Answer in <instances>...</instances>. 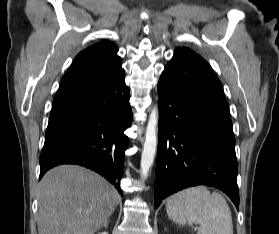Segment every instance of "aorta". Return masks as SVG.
<instances>
[{
	"mask_svg": "<svg viewBox=\"0 0 279 234\" xmlns=\"http://www.w3.org/2000/svg\"><path fill=\"white\" fill-rule=\"evenodd\" d=\"M158 106H155L149 116L143 151L141 154V176L145 179L154 163L157 150Z\"/></svg>",
	"mask_w": 279,
	"mask_h": 234,
	"instance_id": "762f6f07",
	"label": "aorta"
}]
</instances>
